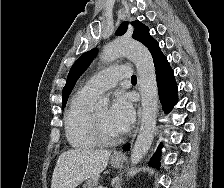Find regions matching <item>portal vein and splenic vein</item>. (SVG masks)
Instances as JSON below:
<instances>
[{
  "mask_svg": "<svg viewBox=\"0 0 224 188\" xmlns=\"http://www.w3.org/2000/svg\"><path fill=\"white\" fill-rule=\"evenodd\" d=\"M99 188H105V187H103V186H99Z\"/></svg>",
  "mask_w": 224,
  "mask_h": 188,
  "instance_id": "obj_1",
  "label": "portal vein and splenic vein"
}]
</instances>
